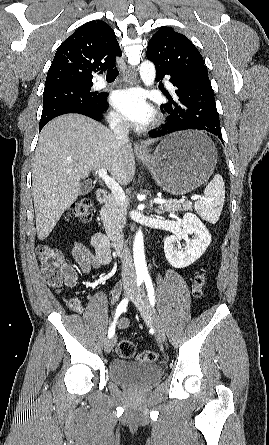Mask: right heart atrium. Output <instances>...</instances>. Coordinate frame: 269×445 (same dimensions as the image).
I'll list each match as a JSON object with an SVG mask.
<instances>
[{
  "label": "right heart atrium",
  "mask_w": 269,
  "mask_h": 445,
  "mask_svg": "<svg viewBox=\"0 0 269 445\" xmlns=\"http://www.w3.org/2000/svg\"><path fill=\"white\" fill-rule=\"evenodd\" d=\"M110 125L115 129H125L127 122L124 117L116 111H111L108 116Z\"/></svg>",
  "instance_id": "obj_1"
}]
</instances>
